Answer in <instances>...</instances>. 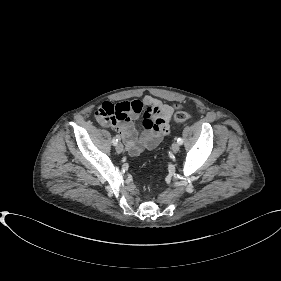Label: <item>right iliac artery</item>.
Segmentation results:
<instances>
[{
  "label": "right iliac artery",
  "mask_w": 281,
  "mask_h": 281,
  "mask_svg": "<svg viewBox=\"0 0 281 281\" xmlns=\"http://www.w3.org/2000/svg\"><path fill=\"white\" fill-rule=\"evenodd\" d=\"M112 143H113V145H117V143H118V138H117V137H114L113 140H112Z\"/></svg>",
  "instance_id": "right-iliac-artery-1"
}]
</instances>
